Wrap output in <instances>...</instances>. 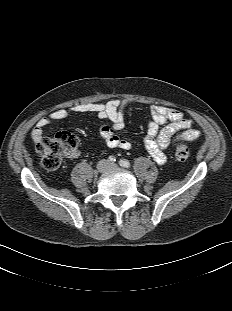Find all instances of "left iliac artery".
Returning a JSON list of instances; mask_svg holds the SVG:
<instances>
[{"label": "left iliac artery", "instance_id": "left-iliac-artery-1", "mask_svg": "<svg viewBox=\"0 0 232 311\" xmlns=\"http://www.w3.org/2000/svg\"><path fill=\"white\" fill-rule=\"evenodd\" d=\"M120 166L125 167V168H129L130 167V162L126 159H122L119 161Z\"/></svg>", "mask_w": 232, "mask_h": 311}]
</instances>
